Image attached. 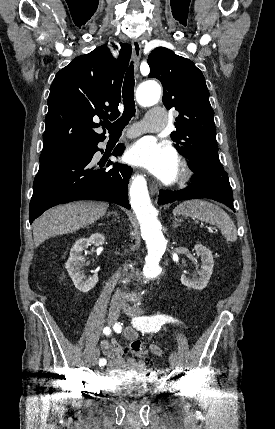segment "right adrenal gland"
I'll return each instance as SVG.
<instances>
[{
	"label": "right adrenal gland",
	"mask_w": 275,
	"mask_h": 429,
	"mask_svg": "<svg viewBox=\"0 0 275 429\" xmlns=\"http://www.w3.org/2000/svg\"><path fill=\"white\" fill-rule=\"evenodd\" d=\"M111 214H113L114 216H116L117 218H119L117 212H108L107 216H110Z\"/></svg>",
	"instance_id": "1"
}]
</instances>
